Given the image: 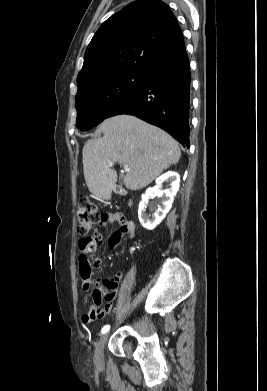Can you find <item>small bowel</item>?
Here are the masks:
<instances>
[{
  "label": "small bowel",
  "mask_w": 267,
  "mask_h": 391,
  "mask_svg": "<svg viewBox=\"0 0 267 391\" xmlns=\"http://www.w3.org/2000/svg\"><path fill=\"white\" fill-rule=\"evenodd\" d=\"M120 214L104 213L102 214L101 224L116 222L120 227L114 231L108 240L110 248H116L120 244L123 234H128L130 238L135 235V227L133 222L119 220ZM100 239V235H98ZM88 254H81L79 257V273L82 279V287L84 291H91V300L89 303L88 312L83 316V321L88 322L101 318L112 307V302L117 294L118 286L122 279L121 273H115L111 278L94 277L93 268L99 266L100 261L94 260L91 263L88 259Z\"/></svg>",
  "instance_id": "obj_1"
}]
</instances>
